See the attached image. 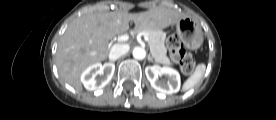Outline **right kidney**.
Returning a JSON list of instances; mask_svg holds the SVG:
<instances>
[{
  "label": "right kidney",
  "mask_w": 276,
  "mask_h": 120,
  "mask_svg": "<svg viewBox=\"0 0 276 120\" xmlns=\"http://www.w3.org/2000/svg\"><path fill=\"white\" fill-rule=\"evenodd\" d=\"M114 70L115 65L113 63H105L104 65L95 63L83 71L81 82L89 91L100 90L112 79Z\"/></svg>",
  "instance_id": "1"
}]
</instances>
